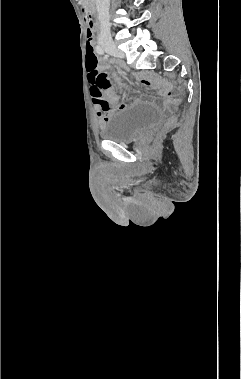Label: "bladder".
Wrapping results in <instances>:
<instances>
[{
    "label": "bladder",
    "instance_id": "bladder-1",
    "mask_svg": "<svg viewBox=\"0 0 241 379\" xmlns=\"http://www.w3.org/2000/svg\"><path fill=\"white\" fill-rule=\"evenodd\" d=\"M163 113L149 104H135L110 114L100 127V136L119 144L130 143L158 125Z\"/></svg>",
    "mask_w": 241,
    "mask_h": 379
}]
</instances>
